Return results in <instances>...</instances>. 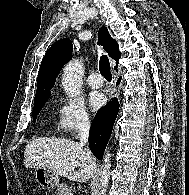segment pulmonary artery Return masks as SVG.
I'll list each match as a JSON object with an SVG mask.
<instances>
[{"label": "pulmonary artery", "mask_w": 189, "mask_h": 195, "mask_svg": "<svg viewBox=\"0 0 189 195\" xmlns=\"http://www.w3.org/2000/svg\"><path fill=\"white\" fill-rule=\"evenodd\" d=\"M87 84L92 89H99L103 86V78L98 72H92L87 77Z\"/></svg>", "instance_id": "obj_1"}]
</instances>
